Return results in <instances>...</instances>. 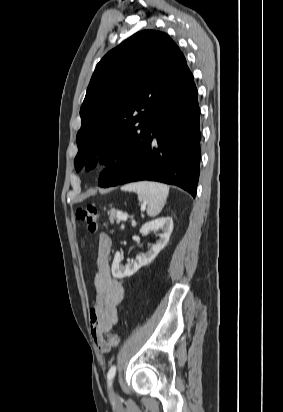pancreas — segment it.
Masks as SVG:
<instances>
[{
    "instance_id": "obj_1",
    "label": "pancreas",
    "mask_w": 283,
    "mask_h": 412,
    "mask_svg": "<svg viewBox=\"0 0 283 412\" xmlns=\"http://www.w3.org/2000/svg\"><path fill=\"white\" fill-rule=\"evenodd\" d=\"M108 215H109V220L112 224L114 223L115 220H116L117 223H120L121 220L118 219L116 210H110L108 212Z\"/></svg>"
}]
</instances>
